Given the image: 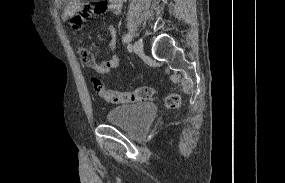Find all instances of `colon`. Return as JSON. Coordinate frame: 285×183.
Returning <instances> with one entry per match:
<instances>
[{
    "label": "colon",
    "mask_w": 285,
    "mask_h": 183,
    "mask_svg": "<svg viewBox=\"0 0 285 183\" xmlns=\"http://www.w3.org/2000/svg\"><path fill=\"white\" fill-rule=\"evenodd\" d=\"M92 84L95 93L108 103H134L151 100L155 96V90L152 87L143 86L129 91H117L106 88L104 83L93 78ZM166 106L171 109H177L180 106V97L176 93H171L166 97Z\"/></svg>",
    "instance_id": "1"
}]
</instances>
